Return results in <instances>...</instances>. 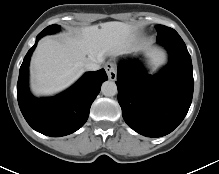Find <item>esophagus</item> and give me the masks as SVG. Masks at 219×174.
Listing matches in <instances>:
<instances>
[{
	"instance_id": "34e87169",
	"label": "esophagus",
	"mask_w": 219,
	"mask_h": 174,
	"mask_svg": "<svg viewBox=\"0 0 219 174\" xmlns=\"http://www.w3.org/2000/svg\"><path fill=\"white\" fill-rule=\"evenodd\" d=\"M105 70L110 80L114 81L117 77V67L113 62H107L105 64Z\"/></svg>"
}]
</instances>
